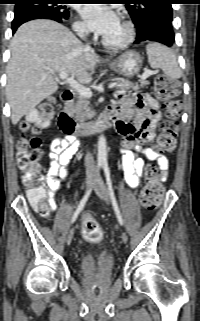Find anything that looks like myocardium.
<instances>
[{"instance_id":"obj_1","label":"myocardium","mask_w":200,"mask_h":321,"mask_svg":"<svg viewBox=\"0 0 200 321\" xmlns=\"http://www.w3.org/2000/svg\"><path fill=\"white\" fill-rule=\"evenodd\" d=\"M121 21L127 30L126 38L122 42L111 43V42L107 41L104 37H102L101 43L105 48H107L109 50H122V49L127 48L134 41L135 35H136L134 23L126 17H122Z\"/></svg>"}]
</instances>
